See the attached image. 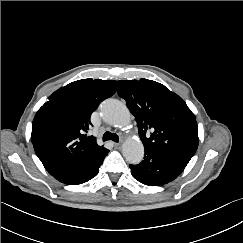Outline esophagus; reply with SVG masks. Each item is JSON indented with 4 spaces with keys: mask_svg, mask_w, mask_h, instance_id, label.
<instances>
[{
    "mask_svg": "<svg viewBox=\"0 0 243 243\" xmlns=\"http://www.w3.org/2000/svg\"><path fill=\"white\" fill-rule=\"evenodd\" d=\"M114 147H115L116 149H119V148L121 147V143H114Z\"/></svg>",
    "mask_w": 243,
    "mask_h": 243,
    "instance_id": "esophagus-1",
    "label": "esophagus"
}]
</instances>
